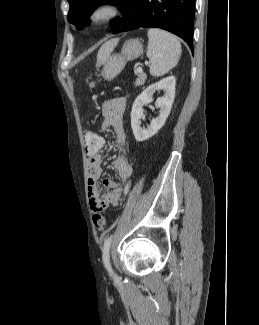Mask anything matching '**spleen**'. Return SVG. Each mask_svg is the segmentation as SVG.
Instances as JSON below:
<instances>
[{
	"label": "spleen",
	"instance_id": "obj_1",
	"mask_svg": "<svg viewBox=\"0 0 259 325\" xmlns=\"http://www.w3.org/2000/svg\"><path fill=\"white\" fill-rule=\"evenodd\" d=\"M147 57L150 61V74L160 77L173 69L181 56V44L171 33L151 28L148 30Z\"/></svg>",
	"mask_w": 259,
	"mask_h": 325
}]
</instances>
